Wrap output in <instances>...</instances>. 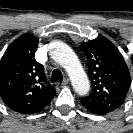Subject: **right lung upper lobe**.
<instances>
[{
    "label": "right lung upper lobe",
    "mask_w": 133,
    "mask_h": 133,
    "mask_svg": "<svg viewBox=\"0 0 133 133\" xmlns=\"http://www.w3.org/2000/svg\"><path fill=\"white\" fill-rule=\"evenodd\" d=\"M37 47L38 38L24 34L10 44L0 62V97L21 114L41 111L55 95L43 65L34 58Z\"/></svg>",
    "instance_id": "right-lung-upper-lobe-1"
}]
</instances>
